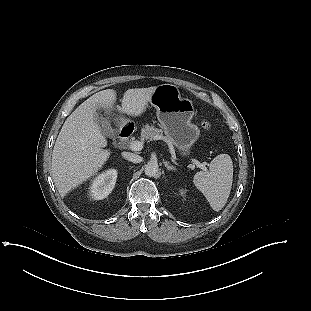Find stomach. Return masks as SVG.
<instances>
[{"label":"stomach","mask_w":311,"mask_h":311,"mask_svg":"<svg viewBox=\"0 0 311 311\" xmlns=\"http://www.w3.org/2000/svg\"><path fill=\"white\" fill-rule=\"evenodd\" d=\"M150 104L156 109L157 119L167 140L175 145L182 156L189 155L200 135L199 128L191 123L193 102L181 97L175 87L161 85L153 93Z\"/></svg>","instance_id":"obj_1"}]
</instances>
